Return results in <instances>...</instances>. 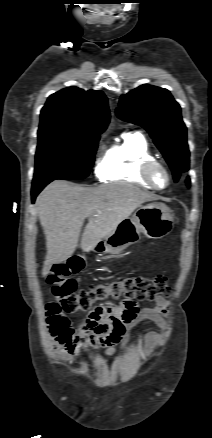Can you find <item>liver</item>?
<instances>
[{"mask_svg": "<svg viewBox=\"0 0 212 438\" xmlns=\"http://www.w3.org/2000/svg\"><path fill=\"white\" fill-rule=\"evenodd\" d=\"M158 198L154 193L126 183L96 188L80 187L68 181L50 183L36 200L47 249L42 275L46 276L53 264L72 256L85 218L89 221L80 246L89 252L143 203Z\"/></svg>", "mask_w": 212, "mask_h": 438, "instance_id": "liver-1", "label": "liver"}]
</instances>
